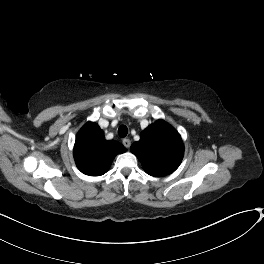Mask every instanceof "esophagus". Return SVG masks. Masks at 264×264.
Returning <instances> with one entry per match:
<instances>
[{
  "label": "esophagus",
  "mask_w": 264,
  "mask_h": 264,
  "mask_svg": "<svg viewBox=\"0 0 264 264\" xmlns=\"http://www.w3.org/2000/svg\"><path fill=\"white\" fill-rule=\"evenodd\" d=\"M122 142H123V145H124L126 148H129L130 145H131V141H130V139H128V138L123 139Z\"/></svg>",
  "instance_id": "1"
}]
</instances>
